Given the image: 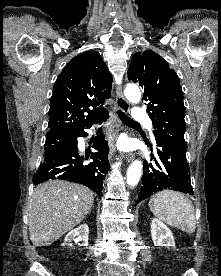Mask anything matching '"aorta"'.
<instances>
[{
  "instance_id": "762f6f07",
  "label": "aorta",
  "mask_w": 221,
  "mask_h": 276,
  "mask_svg": "<svg viewBox=\"0 0 221 276\" xmlns=\"http://www.w3.org/2000/svg\"><path fill=\"white\" fill-rule=\"evenodd\" d=\"M126 98L132 103H138L141 99L140 89L136 85H128L125 89ZM142 173V163L135 160L127 170V184L134 187L138 184Z\"/></svg>"
}]
</instances>
